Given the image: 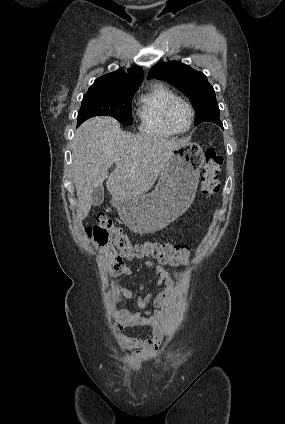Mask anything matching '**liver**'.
Segmentation results:
<instances>
[{"mask_svg": "<svg viewBox=\"0 0 285 424\" xmlns=\"http://www.w3.org/2000/svg\"><path fill=\"white\" fill-rule=\"evenodd\" d=\"M186 144L184 139H164L149 134L122 131L113 118L103 116L85 121L72 141V173L80 220L92 205L93 188L106 181L109 193L132 199L148 192L172 152ZM115 163L114 171L108 169Z\"/></svg>", "mask_w": 285, "mask_h": 424, "instance_id": "liver-1", "label": "liver"}]
</instances>
